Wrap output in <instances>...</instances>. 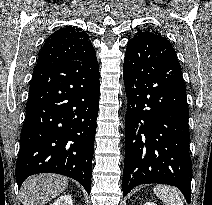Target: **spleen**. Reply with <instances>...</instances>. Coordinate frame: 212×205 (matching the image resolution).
Wrapping results in <instances>:
<instances>
[{"label": "spleen", "mask_w": 212, "mask_h": 205, "mask_svg": "<svg viewBox=\"0 0 212 205\" xmlns=\"http://www.w3.org/2000/svg\"><path fill=\"white\" fill-rule=\"evenodd\" d=\"M154 192L165 205H184L179 192L171 186L157 185Z\"/></svg>", "instance_id": "spleen-1"}]
</instances>
